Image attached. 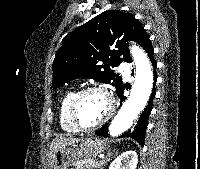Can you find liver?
Here are the masks:
<instances>
[{
    "instance_id": "6515ba94",
    "label": "liver",
    "mask_w": 200,
    "mask_h": 169,
    "mask_svg": "<svg viewBox=\"0 0 200 169\" xmlns=\"http://www.w3.org/2000/svg\"><path fill=\"white\" fill-rule=\"evenodd\" d=\"M81 139L79 138H72V137H65V136H59L56 137L55 139H53L51 145H50V149H49V158H52V156L54 155V153L59 149L62 148L64 146H69L75 143L80 142Z\"/></svg>"
}]
</instances>
